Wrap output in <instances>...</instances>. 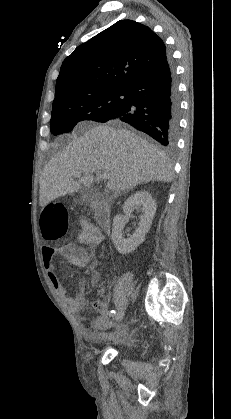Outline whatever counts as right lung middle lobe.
<instances>
[{
  "label": "right lung middle lobe",
  "instance_id": "dd1d6c3e",
  "mask_svg": "<svg viewBox=\"0 0 231 419\" xmlns=\"http://www.w3.org/2000/svg\"><path fill=\"white\" fill-rule=\"evenodd\" d=\"M123 95V89H102L53 103L51 133L70 132L84 120L105 121L123 103Z\"/></svg>",
  "mask_w": 231,
  "mask_h": 419
}]
</instances>
